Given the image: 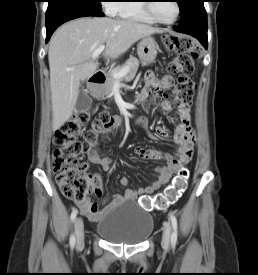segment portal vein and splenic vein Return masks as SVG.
<instances>
[{
	"label": "portal vein and splenic vein",
	"mask_w": 258,
	"mask_h": 275,
	"mask_svg": "<svg viewBox=\"0 0 258 275\" xmlns=\"http://www.w3.org/2000/svg\"><path fill=\"white\" fill-rule=\"evenodd\" d=\"M105 49V45H101L99 46L93 53H92V58L96 59L99 57V55L104 51ZM68 71H72L74 70V68H67ZM129 71L128 67H125L123 69H121L119 72L114 73V77L116 79H120L122 78L125 74H127Z\"/></svg>",
	"instance_id": "18ae733b"
}]
</instances>
